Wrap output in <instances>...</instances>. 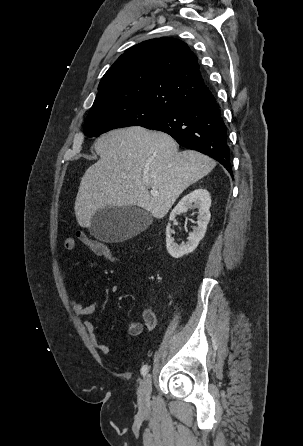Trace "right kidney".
I'll list each match as a JSON object with an SVG mask.
<instances>
[{
  "label": "right kidney",
  "mask_w": 303,
  "mask_h": 446,
  "mask_svg": "<svg viewBox=\"0 0 303 446\" xmlns=\"http://www.w3.org/2000/svg\"><path fill=\"white\" fill-rule=\"evenodd\" d=\"M211 197L206 189L199 188L184 196L172 210L169 220L172 221L180 214L187 212L188 209L198 208L197 227L189 233L188 241L185 244L178 245L170 235V224L166 228V247L168 253L174 258H180L193 252L199 242L205 235L207 225L210 220Z\"/></svg>",
  "instance_id": "right-kidney-1"
}]
</instances>
